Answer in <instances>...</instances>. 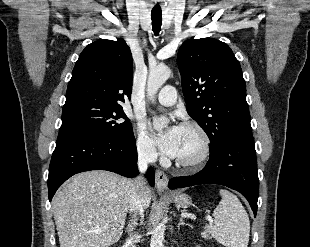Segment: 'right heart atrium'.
Returning <instances> with one entry per match:
<instances>
[{"label": "right heart atrium", "instance_id": "right-heart-atrium-1", "mask_svg": "<svg viewBox=\"0 0 310 247\" xmlns=\"http://www.w3.org/2000/svg\"><path fill=\"white\" fill-rule=\"evenodd\" d=\"M136 149L138 154L148 161H152L157 157L154 142L143 124H139L136 130Z\"/></svg>", "mask_w": 310, "mask_h": 247}]
</instances>
